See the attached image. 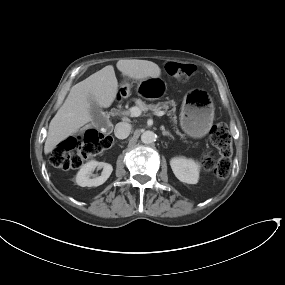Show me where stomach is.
<instances>
[{
	"mask_svg": "<svg viewBox=\"0 0 285 285\" xmlns=\"http://www.w3.org/2000/svg\"><path fill=\"white\" fill-rule=\"evenodd\" d=\"M155 81H161V79L149 78L143 80L139 86L140 95L146 96L143 88ZM124 87L129 90L130 86L125 83ZM213 119V103L205 92L193 91L184 97L180 113V125L187 135L193 138L205 136L212 126Z\"/></svg>",
	"mask_w": 285,
	"mask_h": 285,
	"instance_id": "stomach-1",
	"label": "stomach"
}]
</instances>
